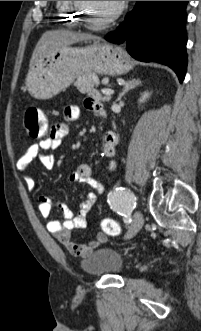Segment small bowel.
<instances>
[{
  "label": "small bowel",
  "instance_id": "small-bowel-1",
  "mask_svg": "<svg viewBox=\"0 0 201 331\" xmlns=\"http://www.w3.org/2000/svg\"><path fill=\"white\" fill-rule=\"evenodd\" d=\"M85 107L99 116L104 117L106 115L102 105L95 99H87L85 101ZM79 115L80 109L78 106L69 105L65 107L62 118L50 127L48 135L38 143L30 145L17 160V168L26 180L30 190L34 189V181L28 174L29 164L34 159L39 158L44 166L52 167L55 164V157L52 153L48 152H52L60 147L62 140L68 134L69 124L76 121ZM117 144L118 137L116 133L106 131L103 136V153L110 160L109 169L115 167L113 158ZM69 181L86 184L98 192H102L104 189L103 185L93 177L92 169L88 164L79 165L76 171L69 176ZM95 201V192L89 191L85 195L84 200L79 204L77 213H74L67 205L57 203L64 218L63 221H59L50 219L53 202L45 196L39 197L38 211L43 218L48 219L47 230L75 257H86L94 247L100 244L97 241L78 244L71 239L72 230L83 229L87 226V215Z\"/></svg>",
  "mask_w": 201,
  "mask_h": 331
}]
</instances>
